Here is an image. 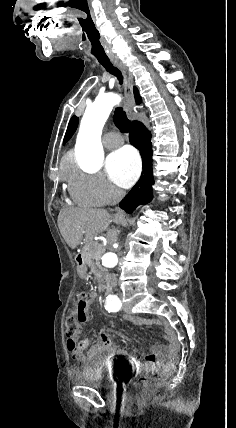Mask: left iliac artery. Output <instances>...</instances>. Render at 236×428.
Returning a JSON list of instances; mask_svg holds the SVG:
<instances>
[{
  "label": "left iliac artery",
  "mask_w": 236,
  "mask_h": 428,
  "mask_svg": "<svg viewBox=\"0 0 236 428\" xmlns=\"http://www.w3.org/2000/svg\"><path fill=\"white\" fill-rule=\"evenodd\" d=\"M121 306L122 303L116 295H108V297H106L105 309L108 310L109 313L119 311Z\"/></svg>",
  "instance_id": "1"
}]
</instances>
